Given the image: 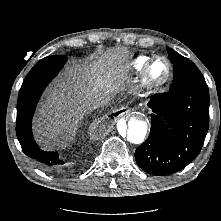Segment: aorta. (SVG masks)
<instances>
[{
    "mask_svg": "<svg viewBox=\"0 0 221 221\" xmlns=\"http://www.w3.org/2000/svg\"><path fill=\"white\" fill-rule=\"evenodd\" d=\"M147 129L145 118L140 114H133L117 121L116 133L122 141L140 144L145 139Z\"/></svg>",
    "mask_w": 221,
    "mask_h": 221,
    "instance_id": "1",
    "label": "aorta"
}]
</instances>
